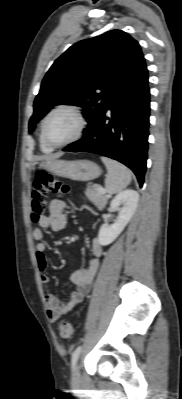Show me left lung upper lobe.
Segmentation results:
<instances>
[{"instance_id": "obj_1", "label": "left lung upper lobe", "mask_w": 182, "mask_h": 399, "mask_svg": "<svg viewBox=\"0 0 182 399\" xmlns=\"http://www.w3.org/2000/svg\"><path fill=\"white\" fill-rule=\"evenodd\" d=\"M143 65L145 59L138 42L121 30L75 43L45 75L34 101L29 132L51 107L67 103L84 108L82 114L88 121L85 133L116 90Z\"/></svg>"}]
</instances>
